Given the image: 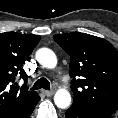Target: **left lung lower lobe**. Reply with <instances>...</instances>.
I'll return each instance as SVG.
<instances>
[{
	"mask_svg": "<svg viewBox=\"0 0 118 118\" xmlns=\"http://www.w3.org/2000/svg\"><path fill=\"white\" fill-rule=\"evenodd\" d=\"M111 115L112 113L108 111L82 108L75 105L66 111L67 118H110Z\"/></svg>",
	"mask_w": 118,
	"mask_h": 118,
	"instance_id": "0a47b994",
	"label": "left lung lower lobe"
}]
</instances>
